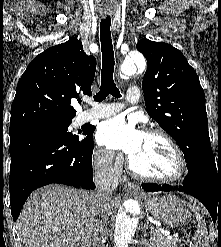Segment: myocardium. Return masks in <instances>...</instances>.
Listing matches in <instances>:
<instances>
[{"instance_id": "f54148a6", "label": "myocardium", "mask_w": 221, "mask_h": 247, "mask_svg": "<svg viewBox=\"0 0 221 247\" xmlns=\"http://www.w3.org/2000/svg\"><path fill=\"white\" fill-rule=\"evenodd\" d=\"M144 134L161 137L172 147V149L176 153L178 160V172L171 177H156V176L144 174L135 169L130 157H128L127 165L131 174L139 179L160 183V184H174L182 181L187 176L188 166L184 152L182 151L179 144L175 141V139L171 135H169L166 131L156 128L146 129Z\"/></svg>"}]
</instances>
